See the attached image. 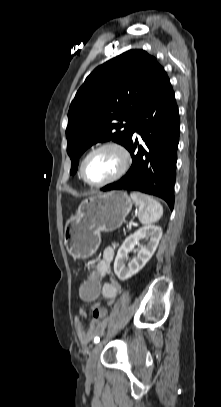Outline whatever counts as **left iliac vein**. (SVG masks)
Masks as SVG:
<instances>
[{
  "mask_svg": "<svg viewBox=\"0 0 221 407\" xmlns=\"http://www.w3.org/2000/svg\"><path fill=\"white\" fill-rule=\"evenodd\" d=\"M102 347H103V344L98 342L89 354V358H88L87 365H86L87 378H92L95 375L96 362H97L98 356L102 350Z\"/></svg>",
  "mask_w": 221,
  "mask_h": 407,
  "instance_id": "left-iliac-vein-1",
  "label": "left iliac vein"
}]
</instances>
